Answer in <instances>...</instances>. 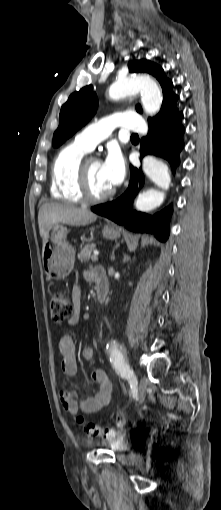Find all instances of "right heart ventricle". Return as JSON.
I'll list each match as a JSON object with an SVG mask.
<instances>
[{
    "instance_id": "right-heart-ventricle-1",
    "label": "right heart ventricle",
    "mask_w": 221,
    "mask_h": 510,
    "mask_svg": "<svg viewBox=\"0 0 221 510\" xmlns=\"http://www.w3.org/2000/svg\"><path fill=\"white\" fill-rule=\"evenodd\" d=\"M87 152L75 141L59 151L51 169L50 194L53 198L74 204L82 201L76 187V175L78 165Z\"/></svg>"
}]
</instances>
